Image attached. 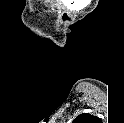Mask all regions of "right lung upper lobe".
<instances>
[{
    "label": "right lung upper lobe",
    "instance_id": "cb5924a9",
    "mask_svg": "<svg viewBox=\"0 0 124 123\" xmlns=\"http://www.w3.org/2000/svg\"><path fill=\"white\" fill-rule=\"evenodd\" d=\"M94 119H96L95 116L90 115L89 113H83L80 114L75 120V123H86V122H91Z\"/></svg>",
    "mask_w": 124,
    "mask_h": 123
}]
</instances>
